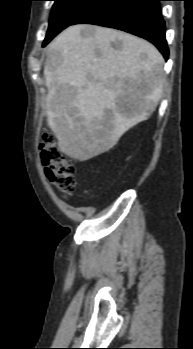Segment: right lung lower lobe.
Masks as SVG:
<instances>
[{
    "mask_svg": "<svg viewBox=\"0 0 193 349\" xmlns=\"http://www.w3.org/2000/svg\"><path fill=\"white\" fill-rule=\"evenodd\" d=\"M162 0H99L71 25L88 23L116 28L152 42L168 59Z\"/></svg>",
    "mask_w": 193,
    "mask_h": 349,
    "instance_id": "1",
    "label": "right lung lower lobe"
}]
</instances>
